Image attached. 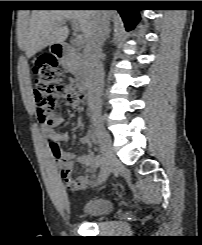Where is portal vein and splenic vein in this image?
Instances as JSON below:
<instances>
[{"label": "portal vein and splenic vein", "mask_w": 202, "mask_h": 245, "mask_svg": "<svg viewBox=\"0 0 202 245\" xmlns=\"http://www.w3.org/2000/svg\"><path fill=\"white\" fill-rule=\"evenodd\" d=\"M72 28L73 30L77 33L76 34V37H75V41L78 45L82 44L83 43V35L82 34H78V31H79V28H78V24L76 21H72Z\"/></svg>", "instance_id": "portal-vein-and-splenic-vein-1"}]
</instances>
